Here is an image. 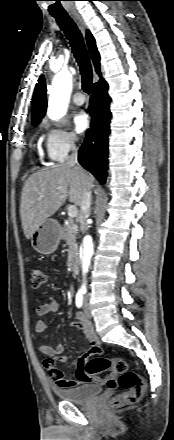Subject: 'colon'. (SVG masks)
I'll return each mask as SVG.
<instances>
[{
	"mask_svg": "<svg viewBox=\"0 0 174 440\" xmlns=\"http://www.w3.org/2000/svg\"><path fill=\"white\" fill-rule=\"evenodd\" d=\"M29 275L32 287L39 288L43 285L45 275L40 268H31ZM85 371L89 376L104 371H111L113 373V375L105 380V383L110 388L119 386L123 392L111 400L110 406L112 408H119L138 402L145 391L146 385L143 378L130 370L128 363L123 359L94 358L85 364ZM114 375H118V379Z\"/></svg>",
	"mask_w": 174,
	"mask_h": 440,
	"instance_id": "1",
	"label": "colon"
}]
</instances>
